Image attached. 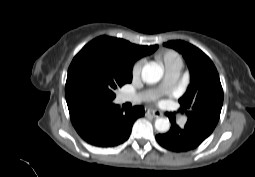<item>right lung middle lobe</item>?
Instances as JSON below:
<instances>
[{
  "mask_svg": "<svg viewBox=\"0 0 255 177\" xmlns=\"http://www.w3.org/2000/svg\"><path fill=\"white\" fill-rule=\"evenodd\" d=\"M131 81L132 70L120 58L107 56L85 45L69 67L65 92L112 102L115 91Z\"/></svg>",
  "mask_w": 255,
  "mask_h": 177,
  "instance_id": "dd1d6c3e",
  "label": "right lung middle lobe"
}]
</instances>
